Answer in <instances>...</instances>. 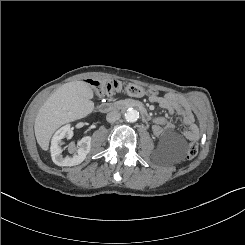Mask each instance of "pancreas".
Masks as SVG:
<instances>
[{"instance_id":"obj_1","label":"pancreas","mask_w":245,"mask_h":245,"mask_svg":"<svg viewBox=\"0 0 245 245\" xmlns=\"http://www.w3.org/2000/svg\"><path fill=\"white\" fill-rule=\"evenodd\" d=\"M130 100H122V101H119L120 104H125V103H129Z\"/></svg>"}]
</instances>
